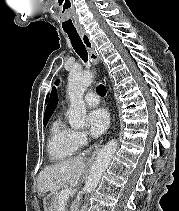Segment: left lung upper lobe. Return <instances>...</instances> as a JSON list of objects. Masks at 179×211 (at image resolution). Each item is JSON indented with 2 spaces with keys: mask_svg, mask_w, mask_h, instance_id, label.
Segmentation results:
<instances>
[{
  "mask_svg": "<svg viewBox=\"0 0 179 211\" xmlns=\"http://www.w3.org/2000/svg\"><path fill=\"white\" fill-rule=\"evenodd\" d=\"M58 83H59V80L56 81V84H58Z\"/></svg>",
  "mask_w": 179,
  "mask_h": 211,
  "instance_id": "left-lung-upper-lobe-1",
  "label": "left lung upper lobe"
}]
</instances>
